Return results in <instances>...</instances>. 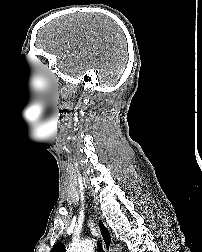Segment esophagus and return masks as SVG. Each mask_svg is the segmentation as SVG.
Instances as JSON below:
<instances>
[{
    "instance_id": "1",
    "label": "esophagus",
    "mask_w": 202,
    "mask_h": 252,
    "mask_svg": "<svg viewBox=\"0 0 202 252\" xmlns=\"http://www.w3.org/2000/svg\"><path fill=\"white\" fill-rule=\"evenodd\" d=\"M95 221H96V228H97L98 234L102 240L105 250L107 252H112L113 240H112L110 229L105 223L103 217L100 215L96 207H95Z\"/></svg>"
}]
</instances>
